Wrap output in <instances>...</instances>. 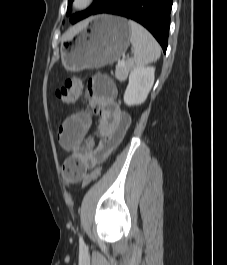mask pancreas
I'll list each match as a JSON object with an SVG mask.
<instances>
[{"mask_svg": "<svg viewBox=\"0 0 227 265\" xmlns=\"http://www.w3.org/2000/svg\"><path fill=\"white\" fill-rule=\"evenodd\" d=\"M130 69H131V64L127 62L123 66L117 67L114 75L119 81H124L126 80Z\"/></svg>", "mask_w": 227, "mask_h": 265, "instance_id": "pancreas-1", "label": "pancreas"}]
</instances>
